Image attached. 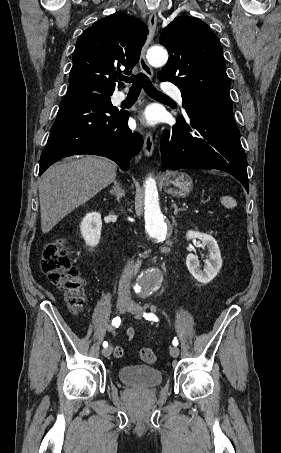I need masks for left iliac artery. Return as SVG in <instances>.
<instances>
[{"label": "left iliac artery", "mask_w": 281, "mask_h": 453, "mask_svg": "<svg viewBox=\"0 0 281 453\" xmlns=\"http://www.w3.org/2000/svg\"><path fill=\"white\" fill-rule=\"evenodd\" d=\"M143 317H145V319L147 320H153V321H158V318L153 314V313H144ZM173 345L174 346H177L178 345V340L176 339V337H174V340H173Z\"/></svg>", "instance_id": "44dca946"}]
</instances>
